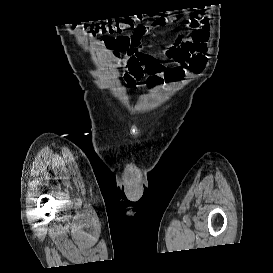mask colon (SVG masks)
Here are the masks:
<instances>
[{
	"instance_id": "obj_1",
	"label": "colon",
	"mask_w": 273,
	"mask_h": 273,
	"mask_svg": "<svg viewBox=\"0 0 273 273\" xmlns=\"http://www.w3.org/2000/svg\"><path fill=\"white\" fill-rule=\"evenodd\" d=\"M168 22V19L157 20L150 25H143L137 22L136 18L128 16L118 19L102 20L92 22L88 25L89 31L93 34L113 35L130 30V45L139 46L141 38L149 32L150 27L161 28Z\"/></svg>"
}]
</instances>
